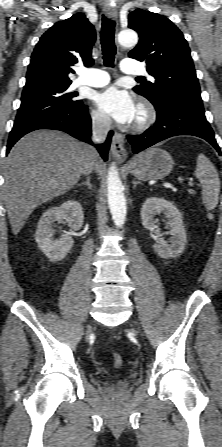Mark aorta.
<instances>
[{
	"mask_svg": "<svg viewBox=\"0 0 222 447\" xmlns=\"http://www.w3.org/2000/svg\"><path fill=\"white\" fill-rule=\"evenodd\" d=\"M118 42L124 47L135 46L138 42V35L134 30H123L118 34ZM107 198L108 206L114 224L122 227L126 220V199L124 187L120 180L115 163H112L107 176Z\"/></svg>",
	"mask_w": 222,
	"mask_h": 447,
	"instance_id": "762f6f07",
	"label": "aorta"
}]
</instances>
